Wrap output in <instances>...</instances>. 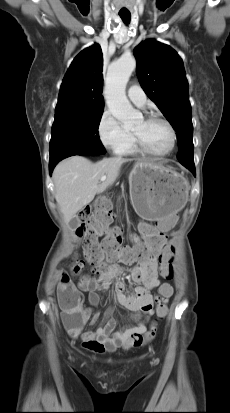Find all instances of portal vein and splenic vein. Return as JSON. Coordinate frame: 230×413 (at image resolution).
<instances>
[{
	"label": "portal vein and splenic vein",
	"mask_w": 230,
	"mask_h": 413,
	"mask_svg": "<svg viewBox=\"0 0 230 413\" xmlns=\"http://www.w3.org/2000/svg\"><path fill=\"white\" fill-rule=\"evenodd\" d=\"M100 180H101V181H105V180H106V176H102Z\"/></svg>",
	"instance_id": "18ae733b"
}]
</instances>
